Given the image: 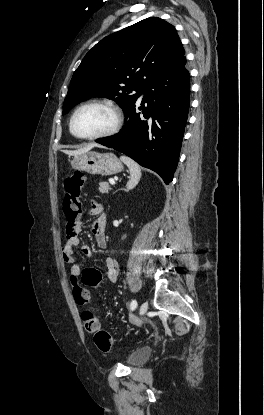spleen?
<instances>
[{
  "mask_svg": "<svg viewBox=\"0 0 264 415\" xmlns=\"http://www.w3.org/2000/svg\"><path fill=\"white\" fill-rule=\"evenodd\" d=\"M121 161L127 165L130 170V178L127 182V189H133L139 182L141 178V168L140 166L131 158L122 155L120 157Z\"/></svg>",
  "mask_w": 264,
  "mask_h": 415,
  "instance_id": "3e777b00",
  "label": "spleen"
}]
</instances>
